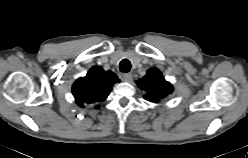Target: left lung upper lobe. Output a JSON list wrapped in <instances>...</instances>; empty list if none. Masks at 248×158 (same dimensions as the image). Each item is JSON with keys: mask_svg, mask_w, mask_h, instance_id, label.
<instances>
[{"mask_svg": "<svg viewBox=\"0 0 248 158\" xmlns=\"http://www.w3.org/2000/svg\"><path fill=\"white\" fill-rule=\"evenodd\" d=\"M137 85L142 90L147 92L145 99L151 102H159L160 99L165 98L172 93L173 87L162 76L161 72L156 68H152L148 73L138 80Z\"/></svg>", "mask_w": 248, "mask_h": 158, "instance_id": "5c2ea615", "label": "left lung upper lobe"}]
</instances>
